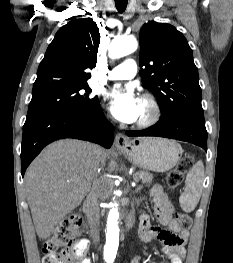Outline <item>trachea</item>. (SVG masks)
Returning <instances> with one entry per match:
<instances>
[{
    "label": "trachea",
    "mask_w": 233,
    "mask_h": 263,
    "mask_svg": "<svg viewBox=\"0 0 233 263\" xmlns=\"http://www.w3.org/2000/svg\"><path fill=\"white\" fill-rule=\"evenodd\" d=\"M127 0H115V5L120 13H123L127 7Z\"/></svg>",
    "instance_id": "trachea-1"
}]
</instances>
